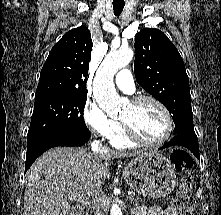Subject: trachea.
<instances>
[{
    "label": "trachea",
    "mask_w": 221,
    "mask_h": 215,
    "mask_svg": "<svg viewBox=\"0 0 221 215\" xmlns=\"http://www.w3.org/2000/svg\"><path fill=\"white\" fill-rule=\"evenodd\" d=\"M124 5H125L124 3L123 4L113 3V10H114L115 16H119L121 14V12L123 11Z\"/></svg>",
    "instance_id": "trachea-1"
}]
</instances>
